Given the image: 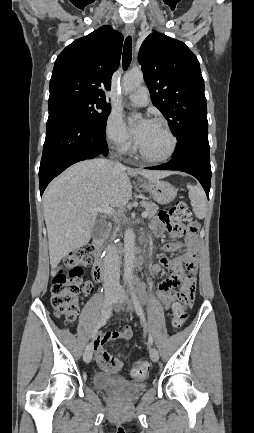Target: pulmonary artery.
<instances>
[{"mask_svg": "<svg viewBox=\"0 0 254 433\" xmlns=\"http://www.w3.org/2000/svg\"><path fill=\"white\" fill-rule=\"evenodd\" d=\"M149 93L144 86L139 87L135 92L129 95V101L134 106H145L148 104Z\"/></svg>", "mask_w": 254, "mask_h": 433, "instance_id": "e3ab8cb5", "label": "pulmonary artery"}]
</instances>
